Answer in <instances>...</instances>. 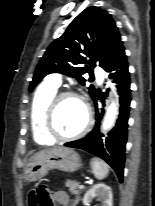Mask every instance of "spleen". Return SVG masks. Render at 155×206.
Returning <instances> with one entry per match:
<instances>
[{
    "instance_id": "3e777b00",
    "label": "spleen",
    "mask_w": 155,
    "mask_h": 206,
    "mask_svg": "<svg viewBox=\"0 0 155 206\" xmlns=\"http://www.w3.org/2000/svg\"><path fill=\"white\" fill-rule=\"evenodd\" d=\"M90 165L95 178L98 180L104 179L109 174V166L101 159H91Z\"/></svg>"
}]
</instances>
